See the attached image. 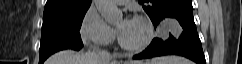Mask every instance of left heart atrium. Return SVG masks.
<instances>
[{
    "mask_svg": "<svg viewBox=\"0 0 242 64\" xmlns=\"http://www.w3.org/2000/svg\"><path fill=\"white\" fill-rule=\"evenodd\" d=\"M133 24H134V20L130 18L126 19L124 21L122 29L120 30L121 35L127 33L132 28Z\"/></svg>",
    "mask_w": 242,
    "mask_h": 64,
    "instance_id": "obj_1",
    "label": "left heart atrium"
}]
</instances>
